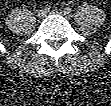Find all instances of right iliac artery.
Here are the masks:
<instances>
[{
    "mask_svg": "<svg viewBox=\"0 0 111 106\" xmlns=\"http://www.w3.org/2000/svg\"><path fill=\"white\" fill-rule=\"evenodd\" d=\"M43 9H44L46 12H48V11H50L51 6H50V5H45V6L43 7Z\"/></svg>",
    "mask_w": 111,
    "mask_h": 106,
    "instance_id": "1",
    "label": "right iliac artery"
}]
</instances>
